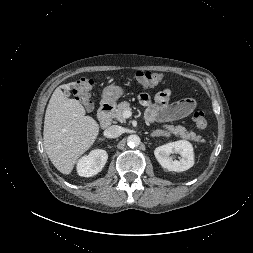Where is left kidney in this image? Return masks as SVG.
Returning a JSON list of instances; mask_svg holds the SVG:
<instances>
[{
	"label": "left kidney",
	"mask_w": 253,
	"mask_h": 253,
	"mask_svg": "<svg viewBox=\"0 0 253 253\" xmlns=\"http://www.w3.org/2000/svg\"><path fill=\"white\" fill-rule=\"evenodd\" d=\"M176 153L181 155L180 160H173L170 156ZM154 155L160 165L175 172H183L194 165V152L191 143L185 140L170 142L155 149Z\"/></svg>",
	"instance_id": "obj_1"
}]
</instances>
